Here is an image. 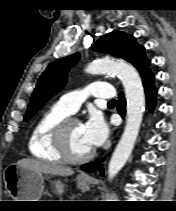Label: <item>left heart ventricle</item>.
Masks as SVG:
<instances>
[{"label": "left heart ventricle", "mask_w": 176, "mask_h": 211, "mask_svg": "<svg viewBox=\"0 0 176 211\" xmlns=\"http://www.w3.org/2000/svg\"><path fill=\"white\" fill-rule=\"evenodd\" d=\"M67 136L69 148L73 154L82 155L92 149L84 139L82 125L80 123H71L67 130Z\"/></svg>", "instance_id": "1"}]
</instances>
